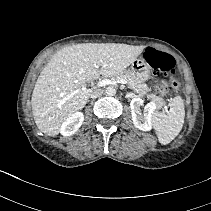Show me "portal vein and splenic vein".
Returning <instances> with one entry per match:
<instances>
[{
  "mask_svg": "<svg viewBox=\"0 0 211 211\" xmlns=\"http://www.w3.org/2000/svg\"><path fill=\"white\" fill-rule=\"evenodd\" d=\"M116 83L127 84V81L124 80V79H120V80L116 81ZM109 84H113V82L111 80H109V79H104L102 81H99L97 83V86L98 87H103V86H106V85H109Z\"/></svg>",
  "mask_w": 211,
  "mask_h": 211,
  "instance_id": "portal-vein-and-splenic-vein-1",
  "label": "portal vein and splenic vein"
}]
</instances>
